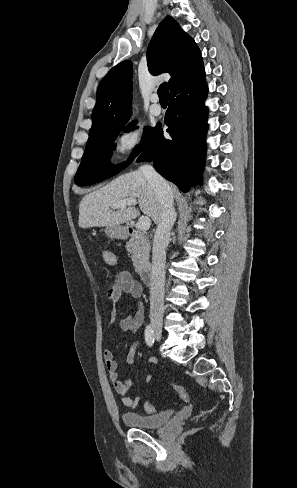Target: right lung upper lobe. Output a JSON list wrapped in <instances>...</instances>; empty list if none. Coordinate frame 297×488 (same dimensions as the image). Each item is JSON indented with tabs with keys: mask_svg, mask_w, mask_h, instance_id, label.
Instances as JSON below:
<instances>
[{
	"mask_svg": "<svg viewBox=\"0 0 297 488\" xmlns=\"http://www.w3.org/2000/svg\"><path fill=\"white\" fill-rule=\"evenodd\" d=\"M151 74L169 73L170 94L205 74L202 56L194 40L172 18L167 17L155 31L147 49ZM132 63L125 60L102 79L92 112L89 137L102 128L125 125L131 116Z\"/></svg>",
	"mask_w": 297,
	"mask_h": 488,
	"instance_id": "cb5924a9",
	"label": "right lung upper lobe"
}]
</instances>
